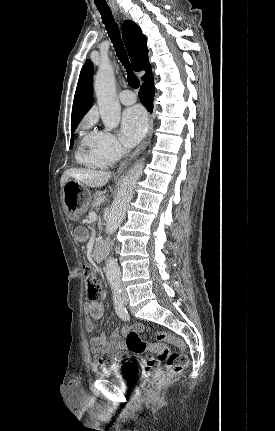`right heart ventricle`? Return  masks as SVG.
Returning a JSON list of instances; mask_svg holds the SVG:
<instances>
[{
  "label": "right heart ventricle",
  "mask_w": 275,
  "mask_h": 431,
  "mask_svg": "<svg viewBox=\"0 0 275 431\" xmlns=\"http://www.w3.org/2000/svg\"><path fill=\"white\" fill-rule=\"evenodd\" d=\"M89 138H90V134L85 136L82 140L84 145L88 146V150L86 149H81L78 154H77V158L79 159V161L87 166L93 167V168H104L107 167L110 163L103 160L102 158L96 156L93 151L91 150L90 146H89Z\"/></svg>",
  "instance_id": "e07e8e85"
}]
</instances>
